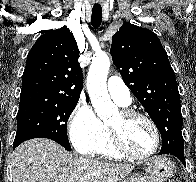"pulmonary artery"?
Returning a JSON list of instances; mask_svg holds the SVG:
<instances>
[{"label":"pulmonary artery","mask_w":196,"mask_h":182,"mask_svg":"<svg viewBox=\"0 0 196 182\" xmlns=\"http://www.w3.org/2000/svg\"><path fill=\"white\" fill-rule=\"evenodd\" d=\"M107 90L110 97L120 106H128L131 103L130 91L119 77H111L108 80Z\"/></svg>","instance_id":"pulmonary-artery-1"}]
</instances>
